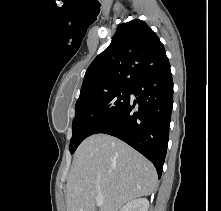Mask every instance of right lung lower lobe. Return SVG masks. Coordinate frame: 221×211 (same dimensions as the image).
I'll return each mask as SVG.
<instances>
[{
	"label": "right lung lower lobe",
	"instance_id": "right-lung-lower-lobe-1",
	"mask_svg": "<svg viewBox=\"0 0 221 211\" xmlns=\"http://www.w3.org/2000/svg\"><path fill=\"white\" fill-rule=\"evenodd\" d=\"M130 93L137 101L129 98L119 113L97 133L115 136L132 146L154 164L160 178L173 107L170 66L136 81L130 87Z\"/></svg>",
	"mask_w": 221,
	"mask_h": 211
}]
</instances>
